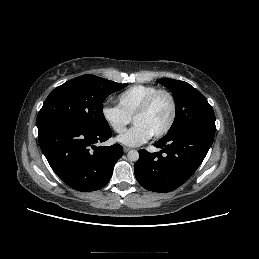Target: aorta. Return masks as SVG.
Segmentation results:
<instances>
[{"instance_id":"aorta-1","label":"aorta","mask_w":259,"mask_h":259,"mask_svg":"<svg viewBox=\"0 0 259 259\" xmlns=\"http://www.w3.org/2000/svg\"><path fill=\"white\" fill-rule=\"evenodd\" d=\"M127 157L130 161L136 162L139 159V153L136 150H130Z\"/></svg>"}]
</instances>
